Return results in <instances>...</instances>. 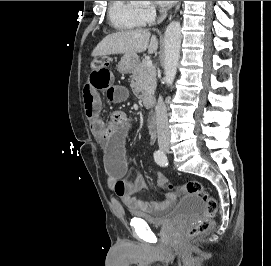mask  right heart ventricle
Wrapping results in <instances>:
<instances>
[{"label":"right heart ventricle","instance_id":"right-heart-ventricle-1","mask_svg":"<svg viewBox=\"0 0 271 266\" xmlns=\"http://www.w3.org/2000/svg\"><path fill=\"white\" fill-rule=\"evenodd\" d=\"M109 19L111 24L119 30H131L144 24L140 8L131 1H111Z\"/></svg>","mask_w":271,"mask_h":266}]
</instances>
